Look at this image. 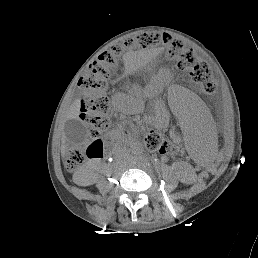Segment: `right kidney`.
I'll return each instance as SVG.
<instances>
[{
	"mask_svg": "<svg viewBox=\"0 0 258 258\" xmlns=\"http://www.w3.org/2000/svg\"><path fill=\"white\" fill-rule=\"evenodd\" d=\"M73 180L79 185H91L95 182V175L88 169V167H83L74 173Z\"/></svg>",
	"mask_w": 258,
	"mask_h": 258,
	"instance_id": "1",
	"label": "right kidney"
}]
</instances>
